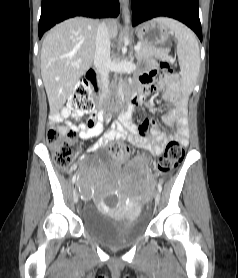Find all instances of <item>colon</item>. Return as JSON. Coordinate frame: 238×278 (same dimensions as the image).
Instances as JSON below:
<instances>
[{
	"label": "colon",
	"mask_w": 238,
	"mask_h": 278,
	"mask_svg": "<svg viewBox=\"0 0 238 278\" xmlns=\"http://www.w3.org/2000/svg\"><path fill=\"white\" fill-rule=\"evenodd\" d=\"M162 78L168 79L173 76V69L167 62L161 63ZM67 108L81 113H91L94 103L91 98L90 85L87 80L79 82L73 94L67 100ZM49 147L52 151L55 164L60 168H67L72 163L73 156L80 146V140L76 130L69 128L64 131L51 128L47 133ZM110 153L116 158H122L128 154L127 148L120 143H113ZM184 147L177 141H170L164 154L158 161L157 171L161 175L172 172L183 160Z\"/></svg>",
	"instance_id": "colon-1"
}]
</instances>
